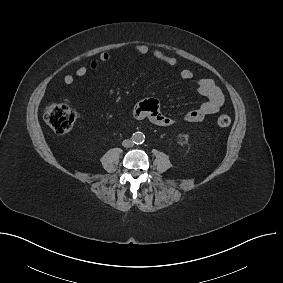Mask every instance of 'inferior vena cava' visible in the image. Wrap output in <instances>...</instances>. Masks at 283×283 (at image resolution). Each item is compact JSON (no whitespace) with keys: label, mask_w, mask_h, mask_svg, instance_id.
Masks as SVG:
<instances>
[{"label":"inferior vena cava","mask_w":283,"mask_h":283,"mask_svg":"<svg viewBox=\"0 0 283 283\" xmlns=\"http://www.w3.org/2000/svg\"><path fill=\"white\" fill-rule=\"evenodd\" d=\"M122 145L124 147H132L134 145V143H133L132 140L126 139V140L123 141Z\"/></svg>","instance_id":"obj_1"}]
</instances>
